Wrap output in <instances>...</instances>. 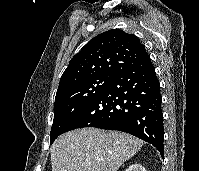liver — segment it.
Instances as JSON below:
<instances>
[{"instance_id":"6515ba94","label":"liver","mask_w":199,"mask_h":171,"mask_svg":"<svg viewBox=\"0 0 199 171\" xmlns=\"http://www.w3.org/2000/svg\"><path fill=\"white\" fill-rule=\"evenodd\" d=\"M142 146V140L125 132L76 129L50 148L52 171H117Z\"/></svg>"}]
</instances>
